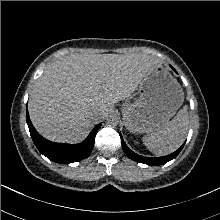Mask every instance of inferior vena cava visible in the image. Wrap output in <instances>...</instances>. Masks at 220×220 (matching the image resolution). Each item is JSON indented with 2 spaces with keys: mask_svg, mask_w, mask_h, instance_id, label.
Masks as SVG:
<instances>
[{
  "mask_svg": "<svg viewBox=\"0 0 220 220\" xmlns=\"http://www.w3.org/2000/svg\"><path fill=\"white\" fill-rule=\"evenodd\" d=\"M99 115V112L94 110L91 112V117H97Z\"/></svg>",
  "mask_w": 220,
  "mask_h": 220,
  "instance_id": "obj_1",
  "label": "inferior vena cava"
}]
</instances>
